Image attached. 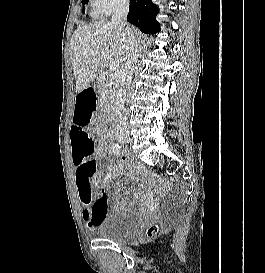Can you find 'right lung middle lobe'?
I'll list each match as a JSON object with an SVG mask.
<instances>
[{"label": "right lung middle lobe", "mask_w": 265, "mask_h": 273, "mask_svg": "<svg viewBox=\"0 0 265 273\" xmlns=\"http://www.w3.org/2000/svg\"><path fill=\"white\" fill-rule=\"evenodd\" d=\"M88 0H82V4H87ZM83 12H84V8H83Z\"/></svg>", "instance_id": "1"}]
</instances>
